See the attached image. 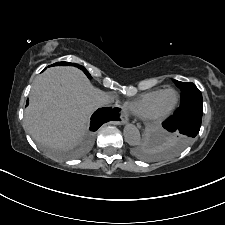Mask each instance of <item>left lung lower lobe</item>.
<instances>
[{
  "label": "left lung lower lobe",
  "instance_id": "0a47b994",
  "mask_svg": "<svg viewBox=\"0 0 225 225\" xmlns=\"http://www.w3.org/2000/svg\"><path fill=\"white\" fill-rule=\"evenodd\" d=\"M202 114L203 105L190 106L182 110H177L162 125L171 133L181 134L193 139L200 130Z\"/></svg>",
  "mask_w": 225,
  "mask_h": 225
}]
</instances>
